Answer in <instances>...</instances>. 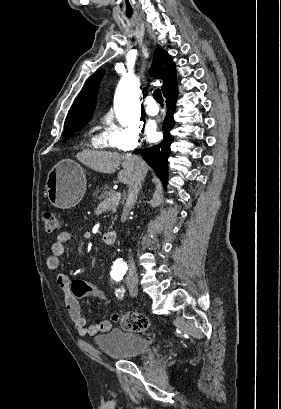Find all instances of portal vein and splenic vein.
<instances>
[{"instance_id": "obj_1", "label": "portal vein and splenic vein", "mask_w": 281, "mask_h": 409, "mask_svg": "<svg viewBox=\"0 0 281 409\" xmlns=\"http://www.w3.org/2000/svg\"><path fill=\"white\" fill-rule=\"evenodd\" d=\"M121 199L118 196H109L107 200H105L103 203H101L100 208L102 210H105L107 207H117L119 205V201Z\"/></svg>"}]
</instances>
